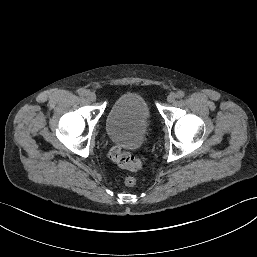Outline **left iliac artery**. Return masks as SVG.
Segmentation results:
<instances>
[{
  "label": "left iliac artery",
  "mask_w": 257,
  "mask_h": 257,
  "mask_svg": "<svg viewBox=\"0 0 257 257\" xmlns=\"http://www.w3.org/2000/svg\"><path fill=\"white\" fill-rule=\"evenodd\" d=\"M184 96H185V93L183 91H178L176 93V97L179 98V99H182Z\"/></svg>",
  "instance_id": "left-iliac-artery-1"
}]
</instances>
